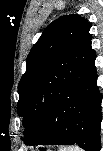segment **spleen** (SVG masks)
<instances>
[{"mask_svg": "<svg viewBox=\"0 0 103 151\" xmlns=\"http://www.w3.org/2000/svg\"><path fill=\"white\" fill-rule=\"evenodd\" d=\"M59 151H83V150L77 146H66L60 148Z\"/></svg>", "mask_w": 103, "mask_h": 151, "instance_id": "1", "label": "spleen"}]
</instances>
